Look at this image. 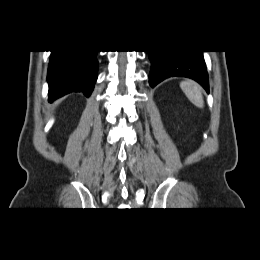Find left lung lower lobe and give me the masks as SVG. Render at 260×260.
<instances>
[{"label": "left lung lower lobe", "instance_id": "1", "mask_svg": "<svg viewBox=\"0 0 260 260\" xmlns=\"http://www.w3.org/2000/svg\"><path fill=\"white\" fill-rule=\"evenodd\" d=\"M201 50L148 51L151 60L149 83L155 87L169 77H188L209 91L208 74Z\"/></svg>", "mask_w": 260, "mask_h": 260}]
</instances>
